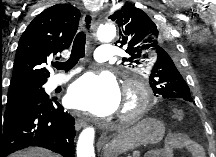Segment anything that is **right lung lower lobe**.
<instances>
[{
  "mask_svg": "<svg viewBox=\"0 0 216 157\" xmlns=\"http://www.w3.org/2000/svg\"><path fill=\"white\" fill-rule=\"evenodd\" d=\"M75 120L56 98L21 104L0 114V157L39 146L74 157Z\"/></svg>",
  "mask_w": 216,
  "mask_h": 157,
  "instance_id": "1",
  "label": "right lung lower lobe"
}]
</instances>
